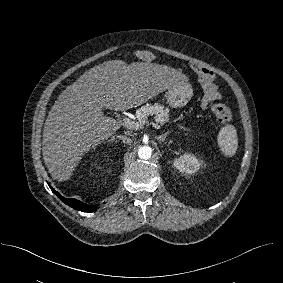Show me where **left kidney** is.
<instances>
[{
	"instance_id": "1",
	"label": "left kidney",
	"mask_w": 283,
	"mask_h": 283,
	"mask_svg": "<svg viewBox=\"0 0 283 283\" xmlns=\"http://www.w3.org/2000/svg\"><path fill=\"white\" fill-rule=\"evenodd\" d=\"M173 165L182 173L193 174L200 169L202 163L191 153H185L174 159Z\"/></svg>"
}]
</instances>
